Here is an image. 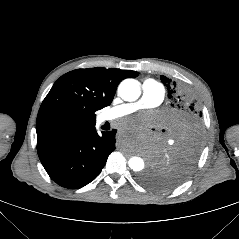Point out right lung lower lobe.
Segmentation results:
<instances>
[{
	"label": "right lung lower lobe",
	"instance_id": "right-lung-lower-lobe-1",
	"mask_svg": "<svg viewBox=\"0 0 239 239\" xmlns=\"http://www.w3.org/2000/svg\"><path fill=\"white\" fill-rule=\"evenodd\" d=\"M116 130L98 135L95 125L37 144L40 161L50 178L68 189L81 188L101 172L115 150Z\"/></svg>",
	"mask_w": 239,
	"mask_h": 239
}]
</instances>
